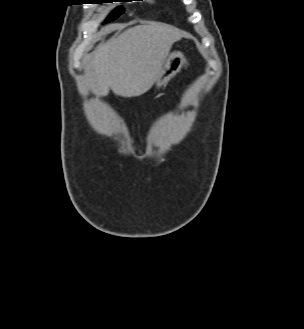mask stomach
<instances>
[{"label": "stomach", "instance_id": "obj_1", "mask_svg": "<svg viewBox=\"0 0 304 329\" xmlns=\"http://www.w3.org/2000/svg\"><path fill=\"white\" fill-rule=\"evenodd\" d=\"M185 62L186 59L182 52H171L162 66L156 86H165L181 70Z\"/></svg>", "mask_w": 304, "mask_h": 329}]
</instances>
